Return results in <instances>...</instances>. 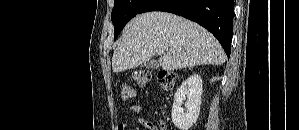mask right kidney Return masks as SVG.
Listing matches in <instances>:
<instances>
[{
  "label": "right kidney",
  "mask_w": 299,
  "mask_h": 130,
  "mask_svg": "<svg viewBox=\"0 0 299 130\" xmlns=\"http://www.w3.org/2000/svg\"><path fill=\"white\" fill-rule=\"evenodd\" d=\"M202 91V79L198 74L191 75L177 89L171 118L179 130H189L195 124L200 112ZM183 100H187L185 112L182 108Z\"/></svg>",
  "instance_id": "right-kidney-1"
}]
</instances>
